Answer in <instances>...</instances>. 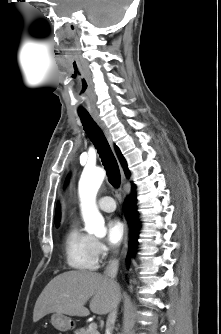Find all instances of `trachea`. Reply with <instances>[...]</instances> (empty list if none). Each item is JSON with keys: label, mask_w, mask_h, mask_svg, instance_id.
Instances as JSON below:
<instances>
[{"label": "trachea", "mask_w": 221, "mask_h": 334, "mask_svg": "<svg viewBox=\"0 0 221 334\" xmlns=\"http://www.w3.org/2000/svg\"><path fill=\"white\" fill-rule=\"evenodd\" d=\"M80 119L86 134L98 151V154L107 172L109 183L114 188H118L121 183L120 170L117 160L105 135L89 114L80 115Z\"/></svg>", "instance_id": "1"}]
</instances>
